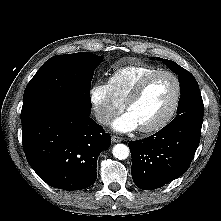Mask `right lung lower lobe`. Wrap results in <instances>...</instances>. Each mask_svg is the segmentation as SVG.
Wrapping results in <instances>:
<instances>
[{
    "label": "right lung lower lobe",
    "instance_id": "right-lung-lower-lobe-1",
    "mask_svg": "<svg viewBox=\"0 0 221 221\" xmlns=\"http://www.w3.org/2000/svg\"><path fill=\"white\" fill-rule=\"evenodd\" d=\"M28 163L48 185L81 190L96 178L97 158L111 144L110 135L90 113L67 105L48 106L22 122Z\"/></svg>",
    "mask_w": 221,
    "mask_h": 221
}]
</instances>
